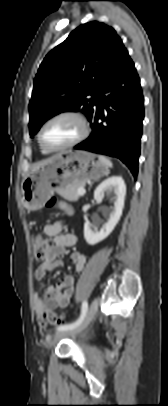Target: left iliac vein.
I'll return each instance as SVG.
<instances>
[{
    "instance_id": "4c4485c4",
    "label": "left iliac vein",
    "mask_w": 168,
    "mask_h": 406,
    "mask_svg": "<svg viewBox=\"0 0 168 406\" xmlns=\"http://www.w3.org/2000/svg\"><path fill=\"white\" fill-rule=\"evenodd\" d=\"M98 306H99L98 299H94L93 302L91 303V305L88 309V312H87L85 318L83 319V321L73 329L61 330V331L56 332L53 336L52 343H55L56 341L60 340L61 338L65 337V336L75 335V334H78V333L82 332L83 330H85L89 326L91 321L94 319V317L97 313V310H98Z\"/></svg>"
}]
</instances>
